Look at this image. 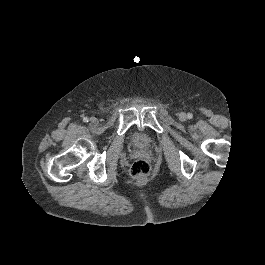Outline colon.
I'll use <instances>...</instances> for the list:
<instances>
[{
    "label": "colon",
    "mask_w": 265,
    "mask_h": 265,
    "mask_svg": "<svg viewBox=\"0 0 265 265\" xmlns=\"http://www.w3.org/2000/svg\"><path fill=\"white\" fill-rule=\"evenodd\" d=\"M150 172V165L146 160H136L130 167V175L133 178H142Z\"/></svg>",
    "instance_id": "obj_1"
}]
</instances>
